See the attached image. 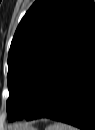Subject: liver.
<instances>
[{
  "label": "liver",
  "mask_w": 95,
  "mask_h": 130,
  "mask_svg": "<svg viewBox=\"0 0 95 130\" xmlns=\"http://www.w3.org/2000/svg\"><path fill=\"white\" fill-rule=\"evenodd\" d=\"M31 126L25 125V126H20V127H15L16 130H27Z\"/></svg>",
  "instance_id": "liver-1"
}]
</instances>
